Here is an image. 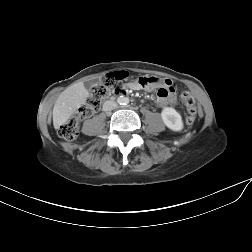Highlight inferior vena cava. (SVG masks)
I'll return each instance as SVG.
<instances>
[{
	"instance_id": "obj_1",
	"label": "inferior vena cava",
	"mask_w": 252,
	"mask_h": 252,
	"mask_svg": "<svg viewBox=\"0 0 252 252\" xmlns=\"http://www.w3.org/2000/svg\"><path fill=\"white\" fill-rule=\"evenodd\" d=\"M117 108V103L115 101L108 100L103 104L104 111H111Z\"/></svg>"
}]
</instances>
